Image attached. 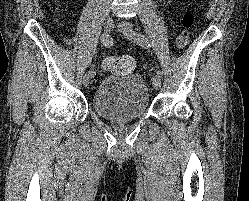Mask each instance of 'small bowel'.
<instances>
[{"label":"small bowel","mask_w":249,"mask_h":201,"mask_svg":"<svg viewBox=\"0 0 249 201\" xmlns=\"http://www.w3.org/2000/svg\"><path fill=\"white\" fill-rule=\"evenodd\" d=\"M109 58H107L106 60H105V62L108 60ZM105 68H106V66H105Z\"/></svg>","instance_id":"obj_1"}]
</instances>
